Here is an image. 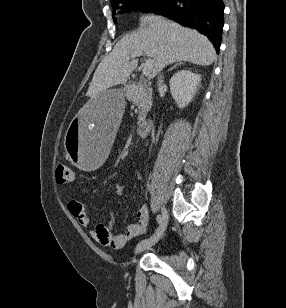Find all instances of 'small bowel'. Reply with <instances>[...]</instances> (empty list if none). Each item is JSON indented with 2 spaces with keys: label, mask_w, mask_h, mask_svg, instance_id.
Wrapping results in <instances>:
<instances>
[{
  "label": "small bowel",
  "mask_w": 286,
  "mask_h": 308,
  "mask_svg": "<svg viewBox=\"0 0 286 308\" xmlns=\"http://www.w3.org/2000/svg\"><path fill=\"white\" fill-rule=\"evenodd\" d=\"M134 178L140 179V174L133 175ZM125 181L118 183L115 186V190L118 194H121L124 189ZM86 193V191H84ZM68 211L77 220L82 227H88L90 224L89 216L87 215L85 205L82 200L78 198H71L67 203ZM109 222L107 224H98L95 229L90 232L91 237L105 247H111L113 249L123 248L130 240L143 234L149 223L148 211L145 207H141L137 211V223H132L127 226V229L123 233L115 234L113 232V226L115 224L114 211L108 208Z\"/></svg>",
  "instance_id": "1"
}]
</instances>
